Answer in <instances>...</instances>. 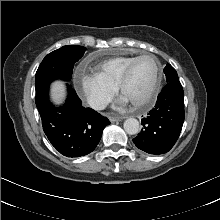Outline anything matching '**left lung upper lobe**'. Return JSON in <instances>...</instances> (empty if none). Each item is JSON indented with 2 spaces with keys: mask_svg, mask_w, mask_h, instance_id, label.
Segmentation results:
<instances>
[{
  "mask_svg": "<svg viewBox=\"0 0 220 220\" xmlns=\"http://www.w3.org/2000/svg\"><path fill=\"white\" fill-rule=\"evenodd\" d=\"M164 73L166 75L167 82L178 80L177 72L170 64L166 65L164 68Z\"/></svg>",
  "mask_w": 220,
  "mask_h": 220,
  "instance_id": "left-lung-upper-lobe-1",
  "label": "left lung upper lobe"
}]
</instances>
